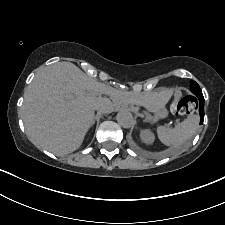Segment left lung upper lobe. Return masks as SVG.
I'll return each mask as SVG.
<instances>
[{
    "mask_svg": "<svg viewBox=\"0 0 225 225\" xmlns=\"http://www.w3.org/2000/svg\"><path fill=\"white\" fill-rule=\"evenodd\" d=\"M190 89H191V92L193 94H195L196 96L203 95L199 85L196 82H194V81L191 82Z\"/></svg>",
    "mask_w": 225,
    "mask_h": 225,
    "instance_id": "1",
    "label": "left lung upper lobe"
}]
</instances>
